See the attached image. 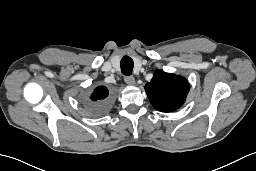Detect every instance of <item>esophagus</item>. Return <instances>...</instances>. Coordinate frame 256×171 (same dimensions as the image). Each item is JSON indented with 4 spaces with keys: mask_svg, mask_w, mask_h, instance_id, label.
<instances>
[{
    "mask_svg": "<svg viewBox=\"0 0 256 171\" xmlns=\"http://www.w3.org/2000/svg\"><path fill=\"white\" fill-rule=\"evenodd\" d=\"M124 80L128 85H134L136 83L135 78L133 76H126Z\"/></svg>",
    "mask_w": 256,
    "mask_h": 171,
    "instance_id": "1",
    "label": "esophagus"
}]
</instances>
